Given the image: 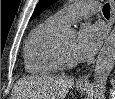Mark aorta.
I'll return each mask as SVG.
<instances>
[{"mask_svg": "<svg viewBox=\"0 0 115 99\" xmlns=\"http://www.w3.org/2000/svg\"><path fill=\"white\" fill-rule=\"evenodd\" d=\"M114 3V0H111ZM115 11V8L112 7ZM115 65V27L111 31L96 60L94 70L95 99H102L108 76Z\"/></svg>", "mask_w": 115, "mask_h": 99, "instance_id": "762f6f07", "label": "aorta"}]
</instances>
